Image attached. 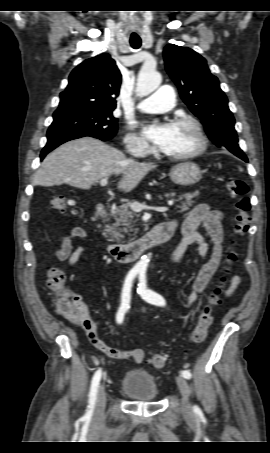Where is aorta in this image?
<instances>
[{"mask_svg": "<svg viewBox=\"0 0 270 453\" xmlns=\"http://www.w3.org/2000/svg\"><path fill=\"white\" fill-rule=\"evenodd\" d=\"M162 77L154 68L142 67L139 72L136 84V93L140 96H147L156 90L161 84ZM149 257L145 256L137 262L136 268L146 269Z\"/></svg>", "mask_w": 270, "mask_h": 453, "instance_id": "aorta-1", "label": "aorta"}]
</instances>
